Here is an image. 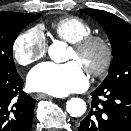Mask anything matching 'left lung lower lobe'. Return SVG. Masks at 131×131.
<instances>
[{"mask_svg":"<svg viewBox=\"0 0 131 131\" xmlns=\"http://www.w3.org/2000/svg\"><path fill=\"white\" fill-rule=\"evenodd\" d=\"M78 131H131V88L99 86Z\"/></svg>","mask_w":131,"mask_h":131,"instance_id":"obj_1","label":"left lung lower lobe"}]
</instances>
